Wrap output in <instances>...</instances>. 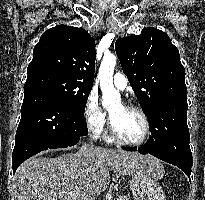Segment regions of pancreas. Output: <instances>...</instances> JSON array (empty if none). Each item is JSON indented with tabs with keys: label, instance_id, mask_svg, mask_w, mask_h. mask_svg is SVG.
I'll list each match as a JSON object with an SVG mask.
<instances>
[{
	"label": "pancreas",
	"instance_id": "pancreas-1",
	"mask_svg": "<svg viewBox=\"0 0 205 200\" xmlns=\"http://www.w3.org/2000/svg\"><path fill=\"white\" fill-rule=\"evenodd\" d=\"M117 200H129V199L126 198V197H123V198H120V199H117Z\"/></svg>",
	"mask_w": 205,
	"mask_h": 200
}]
</instances>
